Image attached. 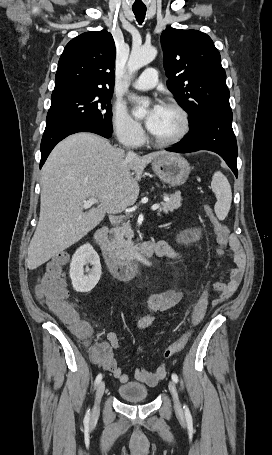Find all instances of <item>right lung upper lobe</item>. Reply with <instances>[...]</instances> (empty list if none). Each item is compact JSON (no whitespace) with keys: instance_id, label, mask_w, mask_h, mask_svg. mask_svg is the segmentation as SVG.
I'll return each instance as SVG.
<instances>
[{"instance_id":"obj_1","label":"right lung upper lobe","mask_w":272,"mask_h":455,"mask_svg":"<svg viewBox=\"0 0 272 455\" xmlns=\"http://www.w3.org/2000/svg\"><path fill=\"white\" fill-rule=\"evenodd\" d=\"M115 53L113 37L106 30L86 32L72 39L59 59L51 101L112 94Z\"/></svg>"}]
</instances>
